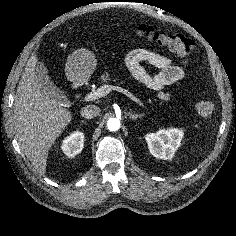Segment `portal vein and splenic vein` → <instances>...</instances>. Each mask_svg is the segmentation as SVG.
Masks as SVG:
<instances>
[{
	"label": "portal vein and splenic vein",
	"mask_w": 236,
	"mask_h": 236,
	"mask_svg": "<svg viewBox=\"0 0 236 236\" xmlns=\"http://www.w3.org/2000/svg\"><path fill=\"white\" fill-rule=\"evenodd\" d=\"M113 90L126 95L127 97H129L131 100H133L134 102H136L140 106H144L143 102H141V100H139L135 95H133L128 90H126L122 87L114 86V85H110V84H105V85L101 86L100 88H98L97 90L91 92L90 94H87L84 97L83 101L89 102V101L96 100L100 97L106 96L107 94H109Z\"/></svg>",
	"instance_id": "1"
}]
</instances>
